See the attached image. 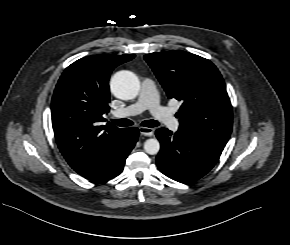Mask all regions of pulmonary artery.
Returning <instances> with one entry per match:
<instances>
[{"label": "pulmonary artery", "mask_w": 290, "mask_h": 245, "mask_svg": "<svg viewBox=\"0 0 290 245\" xmlns=\"http://www.w3.org/2000/svg\"><path fill=\"white\" fill-rule=\"evenodd\" d=\"M150 110L152 115L169 129L176 131L179 123L173 113L160 105L156 85L149 79L144 78L141 82V88L136 101L124 108L112 112L114 118H125L140 114L144 110Z\"/></svg>", "instance_id": "obj_1"}]
</instances>
